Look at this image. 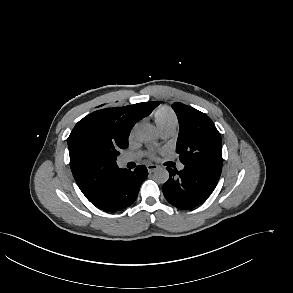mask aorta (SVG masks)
Here are the masks:
<instances>
[{
    "label": "aorta",
    "mask_w": 293,
    "mask_h": 293,
    "mask_svg": "<svg viewBox=\"0 0 293 293\" xmlns=\"http://www.w3.org/2000/svg\"><path fill=\"white\" fill-rule=\"evenodd\" d=\"M136 138L140 142H153L157 138V132L151 125H142L136 130ZM157 183L164 184L169 179V172L165 168H158L154 173Z\"/></svg>",
    "instance_id": "aorta-1"
}]
</instances>
